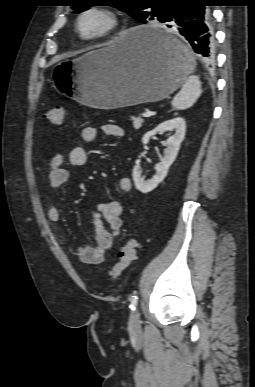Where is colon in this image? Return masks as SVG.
Segmentation results:
<instances>
[{"instance_id": "colon-1", "label": "colon", "mask_w": 255, "mask_h": 387, "mask_svg": "<svg viewBox=\"0 0 255 387\" xmlns=\"http://www.w3.org/2000/svg\"><path fill=\"white\" fill-rule=\"evenodd\" d=\"M44 117L49 123L60 126L64 122L65 109L61 105L52 106L45 112ZM138 245L135 239H128L120 246L117 255L118 261L109 271L111 279H117L131 265L135 259Z\"/></svg>"}]
</instances>
